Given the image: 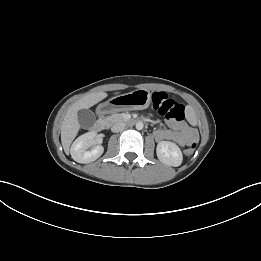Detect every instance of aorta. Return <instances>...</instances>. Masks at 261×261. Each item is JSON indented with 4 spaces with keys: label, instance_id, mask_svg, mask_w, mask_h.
<instances>
[{
    "label": "aorta",
    "instance_id": "762f6f07",
    "mask_svg": "<svg viewBox=\"0 0 261 261\" xmlns=\"http://www.w3.org/2000/svg\"><path fill=\"white\" fill-rule=\"evenodd\" d=\"M143 123L142 122H138V123H136V129L137 130H142L143 129Z\"/></svg>",
    "mask_w": 261,
    "mask_h": 261
}]
</instances>
